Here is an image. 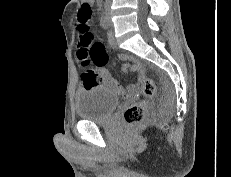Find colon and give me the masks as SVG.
Masks as SVG:
<instances>
[{
    "mask_svg": "<svg viewBox=\"0 0 231 177\" xmlns=\"http://www.w3.org/2000/svg\"><path fill=\"white\" fill-rule=\"evenodd\" d=\"M91 15V6L89 4H83L77 20L78 30L81 33L78 55L85 66H88L90 63L96 66H102L108 62V54L101 43L94 42L93 34L90 30ZM83 78L87 83H96L98 74L95 70L89 68L83 73ZM142 91L145 99L129 106L125 111L124 117L130 126L138 125L143 121L147 101L155 95V84L150 78L144 79Z\"/></svg>",
    "mask_w": 231,
    "mask_h": 177,
    "instance_id": "obj_1",
    "label": "colon"
}]
</instances>
